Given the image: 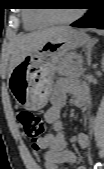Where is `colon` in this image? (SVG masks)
Segmentation results:
<instances>
[{
  "mask_svg": "<svg viewBox=\"0 0 104 169\" xmlns=\"http://www.w3.org/2000/svg\"><path fill=\"white\" fill-rule=\"evenodd\" d=\"M17 120L22 127L25 136L34 143V148L38 146L36 142L42 136L45 130L43 120L36 114L30 111H21L17 115Z\"/></svg>",
  "mask_w": 104,
  "mask_h": 169,
  "instance_id": "colon-1",
  "label": "colon"
}]
</instances>
